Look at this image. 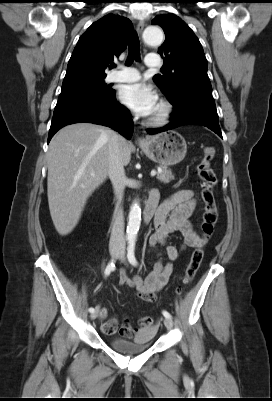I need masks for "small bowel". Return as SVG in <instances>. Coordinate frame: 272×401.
<instances>
[{"label": "small bowel", "instance_id": "c3829d8e", "mask_svg": "<svg viewBox=\"0 0 272 401\" xmlns=\"http://www.w3.org/2000/svg\"><path fill=\"white\" fill-rule=\"evenodd\" d=\"M157 192V191H152ZM158 193V192H157ZM196 207V200L191 190H181L163 201L155 212V232L151 235L149 243L152 247L163 246L167 256V262L161 260L154 264L153 270L145 279L139 276L128 277L125 270L120 271L119 282L121 286L136 289V298L145 302H154L156 295L169 281L173 271V262L179 258L180 251L173 245L167 243L172 233H180L184 238L186 247L194 248L205 244L206 241L194 230L190 217ZM98 312L105 309L98 307ZM153 323L140 322L134 327L129 319H124L119 326L116 318H110L103 324V331L107 335H115L117 332L125 339H136L144 336L147 332H155Z\"/></svg>", "mask_w": 272, "mask_h": 401}]
</instances>
